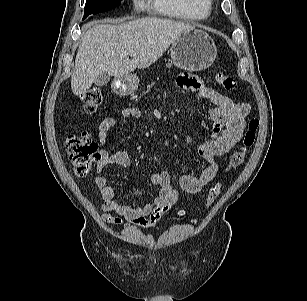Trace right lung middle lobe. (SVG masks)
<instances>
[{"mask_svg":"<svg viewBox=\"0 0 307 301\" xmlns=\"http://www.w3.org/2000/svg\"><path fill=\"white\" fill-rule=\"evenodd\" d=\"M122 0H86L84 9V17L88 15L101 13L107 10H111L120 5Z\"/></svg>","mask_w":307,"mask_h":301,"instance_id":"right-lung-middle-lobe-1","label":"right lung middle lobe"}]
</instances>
